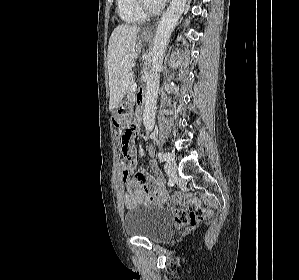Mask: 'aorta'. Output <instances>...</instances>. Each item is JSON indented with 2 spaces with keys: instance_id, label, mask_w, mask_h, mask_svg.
I'll return each mask as SVG.
<instances>
[{
  "instance_id": "1",
  "label": "aorta",
  "mask_w": 299,
  "mask_h": 280,
  "mask_svg": "<svg viewBox=\"0 0 299 280\" xmlns=\"http://www.w3.org/2000/svg\"><path fill=\"white\" fill-rule=\"evenodd\" d=\"M187 0H172L161 17L152 49L151 70L148 75L145 93L143 123L145 129L152 131L155 124L156 102L159 90L160 71L170 36L185 10Z\"/></svg>"
}]
</instances>
